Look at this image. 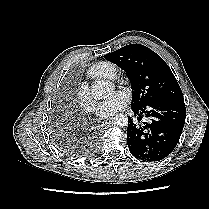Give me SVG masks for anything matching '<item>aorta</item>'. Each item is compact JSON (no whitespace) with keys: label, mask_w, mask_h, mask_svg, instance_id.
Here are the masks:
<instances>
[{"label":"aorta","mask_w":209,"mask_h":209,"mask_svg":"<svg viewBox=\"0 0 209 209\" xmlns=\"http://www.w3.org/2000/svg\"><path fill=\"white\" fill-rule=\"evenodd\" d=\"M113 88L108 82L97 81L91 87V95L95 100H102L109 97ZM112 124L118 127H125L128 125V117L124 114H116L112 118Z\"/></svg>","instance_id":"obj_1"}]
</instances>
